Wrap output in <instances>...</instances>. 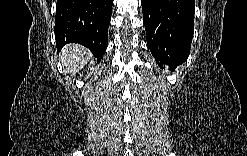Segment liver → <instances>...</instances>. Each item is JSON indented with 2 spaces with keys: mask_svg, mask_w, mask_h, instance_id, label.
<instances>
[{
  "mask_svg": "<svg viewBox=\"0 0 247 156\" xmlns=\"http://www.w3.org/2000/svg\"><path fill=\"white\" fill-rule=\"evenodd\" d=\"M62 65L66 72L77 73L91 58L90 51L81 45L68 44L61 51Z\"/></svg>",
  "mask_w": 247,
  "mask_h": 156,
  "instance_id": "6515ba94",
  "label": "liver"
}]
</instances>
